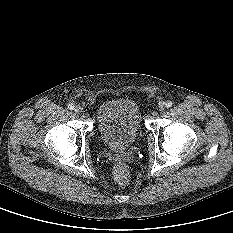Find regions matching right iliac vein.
<instances>
[{
	"label": "right iliac vein",
	"mask_w": 233,
	"mask_h": 233,
	"mask_svg": "<svg viewBox=\"0 0 233 233\" xmlns=\"http://www.w3.org/2000/svg\"><path fill=\"white\" fill-rule=\"evenodd\" d=\"M82 110H83V108H82L80 105H77V106H75V108H74V111H75L77 114L81 113Z\"/></svg>",
	"instance_id": "1"
}]
</instances>
